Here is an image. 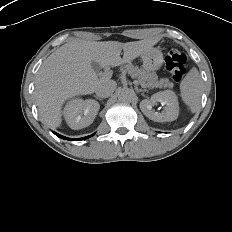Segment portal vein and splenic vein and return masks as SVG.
Masks as SVG:
<instances>
[{"instance_id": "obj_1", "label": "portal vein and splenic vein", "mask_w": 232, "mask_h": 232, "mask_svg": "<svg viewBox=\"0 0 232 232\" xmlns=\"http://www.w3.org/2000/svg\"><path fill=\"white\" fill-rule=\"evenodd\" d=\"M104 74H105V73H104ZM104 74H103V75H104ZM109 75H110V74H109V73H107V74H106V77H109ZM142 86H144V87H145V86H146V84H145V83H143V84H142Z\"/></svg>"}]
</instances>
